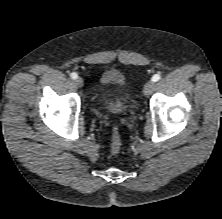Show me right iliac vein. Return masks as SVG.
<instances>
[{"instance_id":"obj_1","label":"right iliac vein","mask_w":222,"mask_h":219,"mask_svg":"<svg viewBox=\"0 0 222 219\" xmlns=\"http://www.w3.org/2000/svg\"><path fill=\"white\" fill-rule=\"evenodd\" d=\"M74 83L77 87H82L84 85V81L81 77H77L75 79Z\"/></svg>"}]
</instances>
